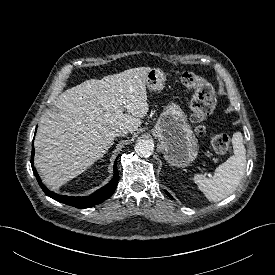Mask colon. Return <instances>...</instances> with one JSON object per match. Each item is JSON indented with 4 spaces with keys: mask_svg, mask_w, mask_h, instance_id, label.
<instances>
[{
    "mask_svg": "<svg viewBox=\"0 0 275 275\" xmlns=\"http://www.w3.org/2000/svg\"><path fill=\"white\" fill-rule=\"evenodd\" d=\"M183 85L193 92L190 101L191 121L196 125V131L203 134L207 130V118L216 105V95L210 83L192 72H184L181 76ZM210 143L218 154L229 150L230 139L226 134L217 133L211 136Z\"/></svg>",
    "mask_w": 275,
    "mask_h": 275,
    "instance_id": "1",
    "label": "colon"
}]
</instances>
